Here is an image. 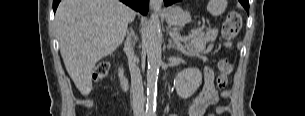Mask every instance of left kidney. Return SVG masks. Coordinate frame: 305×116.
<instances>
[{
  "instance_id": "1",
  "label": "left kidney",
  "mask_w": 305,
  "mask_h": 116,
  "mask_svg": "<svg viewBox=\"0 0 305 116\" xmlns=\"http://www.w3.org/2000/svg\"><path fill=\"white\" fill-rule=\"evenodd\" d=\"M202 82V73L197 68L184 69L175 79L176 92L183 99L190 98Z\"/></svg>"
}]
</instances>
